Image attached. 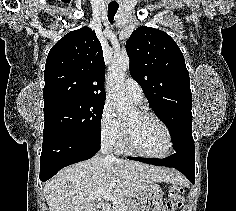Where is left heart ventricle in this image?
<instances>
[{
    "instance_id": "b2bd125f",
    "label": "left heart ventricle",
    "mask_w": 236,
    "mask_h": 211,
    "mask_svg": "<svg viewBox=\"0 0 236 211\" xmlns=\"http://www.w3.org/2000/svg\"><path fill=\"white\" fill-rule=\"evenodd\" d=\"M124 122L136 148L150 154L165 152L168 145L167 135L157 122L139 116L136 111L126 117Z\"/></svg>"
}]
</instances>
